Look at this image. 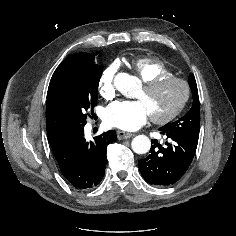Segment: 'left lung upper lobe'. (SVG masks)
<instances>
[{
	"mask_svg": "<svg viewBox=\"0 0 236 236\" xmlns=\"http://www.w3.org/2000/svg\"><path fill=\"white\" fill-rule=\"evenodd\" d=\"M188 82L193 96V104L191 109L181 119L173 123H168L161 128L170 132H176L198 139L200 129V104L198 89L193 74H190Z\"/></svg>",
	"mask_w": 236,
	"mask_h": 236,
	"instance_id": "1",
	"label": "left lung upper lobe"
}]
</instances>
